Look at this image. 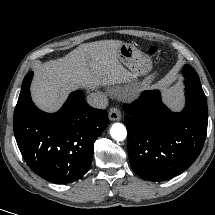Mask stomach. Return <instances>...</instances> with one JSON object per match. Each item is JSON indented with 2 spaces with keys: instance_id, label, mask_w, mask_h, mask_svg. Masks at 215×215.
<instances>
[{
  "instance_id": "0dacf381",
  "label": "stomach",
  "mask_w": 215,
  "mask_h": 215,
  "mask_svg": "<svg viewBox=\"0 0 215 215\" xmlns=\"http://www.w3.org/2000/svg\"><path fill=\"white\" fill-rule=\"evenodd\" d=\"M118 59L135 76H145L152 68L149 56L142 53L134 45L123 43L118 49Z\"/></svg>"
}]
</instances>
